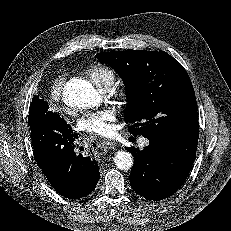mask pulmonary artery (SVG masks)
Listing matches in <instances>:
<instances>
[{"label":"pulmonary artery","instance_id":"e3ab8cb5","mask_svg":"<svg viewBox=\"0 0 231 231\" xmlns=\"http://www.w3.org/2000/svg\"><path fill=\"white\" fill-rule=\"evenodd\" d=\"M107 89H108V88H107ZM107 89H105V90H107ZM141 144H142V145L146 144V141H143Z\"/></svg>","mask_w":231,"mask_h":231}]
</instances>
